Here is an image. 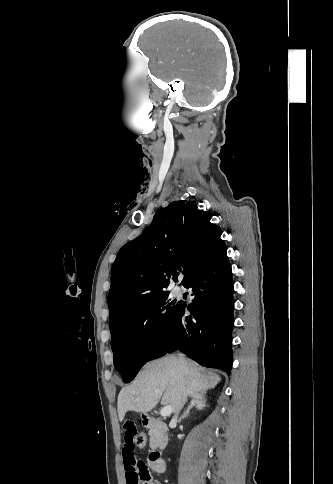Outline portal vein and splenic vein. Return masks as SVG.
Wrapping results in <instances>:
<instances>
[{
    "label": "portal vein and splenic vein",
    "instance_id": "18ae733b",
    "mask_svg": "<svg viewBox=\"0 0 333 484\" xmlns=\"http://www.w3.org/2000/svg\"><path fill=\"white\" fill-rule=\"evenodd\" d=\"M172 411H173L172 407L168 405V406L163 407L160 410V415L162 417H167V416H169L172 413Z\"/></svg>",
    "mask_w": 333,
    "mask_h": 484
}]
</instances>
